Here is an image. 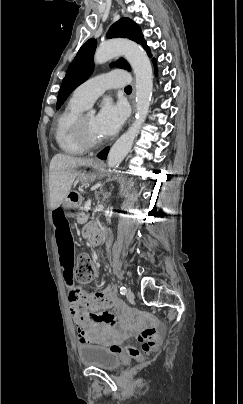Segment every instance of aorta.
<instances>
[{
	"label": "aorta",
	"instance_id": "762f6f07",
	"mask_svg": "<svg viewBox=\"0 0 243 404\" xmlns=\"http://www.w3.org/2000/svg\"><path fill=\"white\" fill-rule=\"evenodd\" d=\"M116 56H124L128 60L135 74V100H136V116L133 124L128 128L127 132L115 142L108 154L109 168H117L127 154H129L135 138H137L142 124L146 120L148 114L152 90H153V74L150 60L135 42L131 40H107L97 48L94 56L95 64H105L108 60L116 58ZM95 110L89 112V116H94Z\"/></svg>",
	"mask_w": 243,
	"mask_h": 404
}]
</instances>
